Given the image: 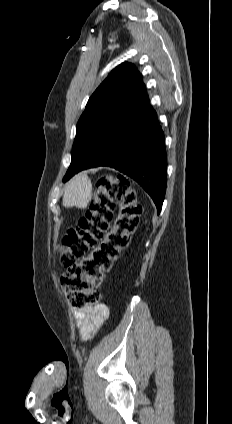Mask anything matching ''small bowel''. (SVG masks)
Returning <instances> with one entry per match:
<instances>
[{"label":"small bowel","instance_id":"1","mask_svg":"<svg viewBox=\"0 0 232 424\" xmlns=\"http://www.w3.org/2000/svg\"><path fill=\"white\" fill-rule=\"evenodd\" d=\"M73 316L81 331L82 339L89 341L95 337L107 320L109 310L104 303H97L88 309L74 311Z\"/></svg>","mask_w":232,"mask_h":424}]
</instances>
